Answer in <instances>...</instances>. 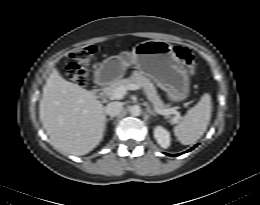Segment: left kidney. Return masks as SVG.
<instances>
[{"label": "left kidney", "mask_w": 260, "mask_h": 205, "mask_svg": "<svg viewBox=\"0 0 260 205\" xmlns=\"http://www.w3.org/2000/svg\"><path fill=\"white\" fill-rule=\"evenodd\" d=\"M154 137L157 143L164 149L170 146V134L169 132L161 126H157L154 129Z\"/></svg>", "instance_id": "5707ae66"}]
</instances>
